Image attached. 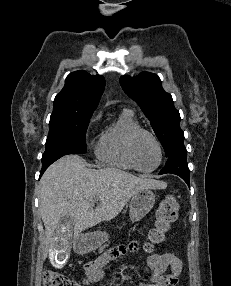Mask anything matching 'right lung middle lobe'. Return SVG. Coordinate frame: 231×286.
Here are the masks:
<instances>
[{"label": "right lung middle lobe", "instance_id": "1", "mask_svg": "<svg viewBox=\"0 0 231 286\" xmlns=\"http://www.w3.org/2000/svg\"><path fill=\"white\" fill-rule=\"evenodd\" d=\"M93 112L53 111L42 162L86 153V130Z\"/></svg>", "mask_w": 231, "mask_h": 286}]
</instances>
